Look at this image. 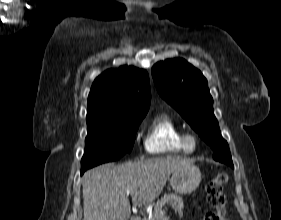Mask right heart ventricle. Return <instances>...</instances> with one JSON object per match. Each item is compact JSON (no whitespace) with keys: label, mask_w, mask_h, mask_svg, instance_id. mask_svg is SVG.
Segmentation results:
<instances>
[{"label":"right heart ventricle","mask_w":281,"mask_h":220,"mask_svg":"<svg viewBox=\"0 0 281 220\" xmlns=\"http://www.w3.org/2000/svg\"><path fill=\"white\" fill-rule=\"evenodd\" d=\"M182 128L166 114L156 115L151 121L144 139V147L150 154L188 153L182 143Z\"/></svg>","instance_id":"1"}]
</instances>
